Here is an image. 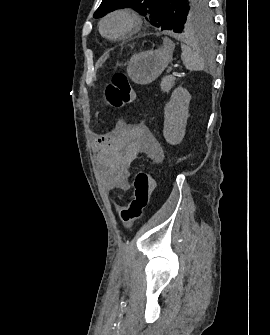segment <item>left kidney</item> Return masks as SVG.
<instances>
[{"label": "left kidney", "mask_w": 270, "mask_h": 335, "mask_svg": "<svg viewBox=\"0 0 270 335\" xmlns=\"http://www.w3.org/2000/svg\"><path fill=\"white\" fill-rule=\"evenodd\" d=\"M191 96L188 90L179 86L166 104L164 110V130L163 136L171 146L181 144L185 136V128L189 118V104Z\"/></svg>", "instance_id": "obj_1"}]
</instances>
